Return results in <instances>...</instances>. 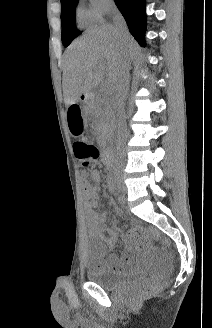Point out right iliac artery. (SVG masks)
I'll return each instance as SVG.
<instances>
[{
  "mask_svg": "<svg viewBox=\"0 0 212 328\" xmlns=\"http://www.w3.org/2000/svg\"><path fill=\"white\" fill-rule=\"evenodd\" d=\"M118 201H119L120 203H124L123 196H119V197H118Z\"/></svg>",
  "mask_w": 212,
  "mask_h": 328,
  "instance_id": "right-iliac-artery-1",
  "label": "right iliac artery"
}]
</instances>
